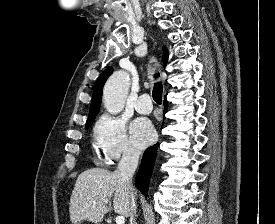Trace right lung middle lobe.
<instances>
[{
	"label": "right lung middle lobe",
	"mask_w": 275,
	"mask_h": 224,
	"mask_svg": "<svg viewBox=\"0 0 275 224\" xmlns=\"http://www.w3.org/2000/svg\"><path fill=\"white\" fill-rule=\"evenodd\" d=\"M93 121H94V120L89 121V122L86 123V129L91 125V123H92Z\"/></svg>",
	"instance_id": "obj_1"
}]
</instances>
